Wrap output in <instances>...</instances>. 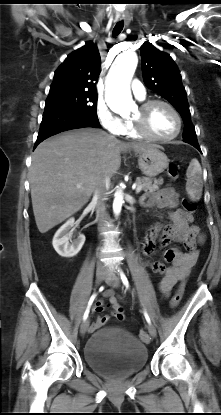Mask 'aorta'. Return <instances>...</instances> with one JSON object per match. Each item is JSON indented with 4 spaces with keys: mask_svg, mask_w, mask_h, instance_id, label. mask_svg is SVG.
I'll return each mask as SVG.
<instances>
[{
    "mask_svg": "<svg viewBox=\"0 0 221 415\" xmlns=\"http://www.w3.org/2000/svg\"><path fill=\"white\" fill-rule=\"evenodd\" d=\"M137 64V54L129 51L119 55L109 70L105 100L110 109L116 113L129 111L133 105L130 82ZM122 204L123 193L118 189L113 201V212L116 216L120 214Z\"/></svg>",
    "mask_w": 221,
    "mask_h": 415,
    "instance_id": "1",
    "label": "aorta"
}]
</instances>
